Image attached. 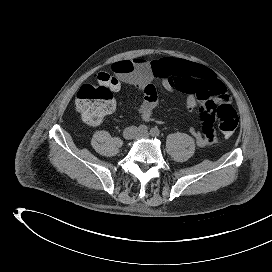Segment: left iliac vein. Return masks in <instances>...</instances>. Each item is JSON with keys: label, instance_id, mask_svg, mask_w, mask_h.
<instances>
[{"label": "left iliac vein", "instance_id": "1", "mask_svg": "<svg viewBox=\"0 0 272 272\" xmlns=\"http://www.w3.org/2000/svg\"><path fill=\"white\" fill-rule=\"evenodd\" d=\"M138 136L148 138L149 134L148 133H139Z\"/></svg>", "mask_w": 272, "mask_h": 272}]
</instances>
